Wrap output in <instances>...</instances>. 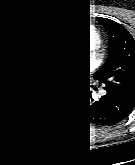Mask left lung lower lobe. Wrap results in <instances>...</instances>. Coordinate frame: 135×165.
<instances>
[{"mask_svg":"<svg viewBox=\"0 0 135 165\" xmlns=\"http://www.w3.org/2000/svg\"><path fill=\"white\" fill-rule=\"evenodd\" d=\"M106 90V94L98 101L89 96L78 104L80 114L87 121L99 124H115L125 119L134 108L120 93Z\"/></svg>","mask_w":135,"mask_h":165,"instance_id":"1","label":"left lung lower lobe"}]
</instances>
